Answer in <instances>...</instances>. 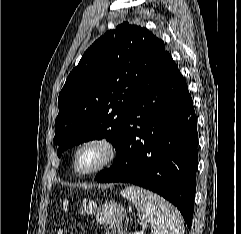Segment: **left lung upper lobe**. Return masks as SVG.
Instances as JSON below:
<instances>
[{
    "instance_id": "left-lung-upper-lobe-1",
    "label": "left lung upper lobe",
    "mask_w": 241,
    "mask_h": 234,
    "mask_svg": "<svg viewBox=\"0 0 241 234\" xmlns=\"http://www.w3.org/2000/svg\"><path fill=\"white\" fill-rule=\"evenodd\" d=\"M165 53L148 29L124 22L84 53L58 98L54 143L69 147L106 138L117 150L130 104Z\"/></svg>"
}]
</instances>
